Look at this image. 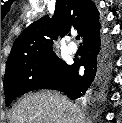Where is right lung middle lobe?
Wrapping results in <instances>:
<instances>
[{"label": "right lung middle lobe", "mask_w": 122, "mask_h": 123, "mask_svg": "<svg viewBox=\"0 0 122 123\" xmlns=\"http://www.w3.org/2000/svg\"><path fill=\"white\" fill-rule=\"evenodd\" d=\"M70 65L54 53H47L24 60L6 68L4 92L6 106L12 100L29 91L42 89L48 83L61 78Z\"/></svg>", "instance_id": "obj_1"}]
</instances>
